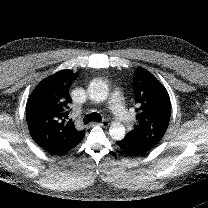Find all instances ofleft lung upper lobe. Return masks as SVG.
I'll return each mask as SVG.
<instances>
[{
  "label": "left lung upper lobe",
  "instance_id": "left-lung-upper-lobe-1",
  "mask_svg": "<svg viewBox=\"0 0 208 208\" xmlns=\"http://www.w3.org/2000/svg\"><path fill=\"white\" fill-rule=\"evenodd\" d=\"M137 122L125 137L155 147L163 138L170 120L171 103L165 87L147 70L134 73Z\"/></svg>",
  "mask_w": 208,
  "mask_h": 208
}]
</instances>
